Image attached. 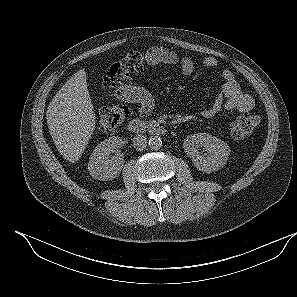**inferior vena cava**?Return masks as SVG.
Returning <instances> with one entry per match:
<instances>
[{"mask_svg": "<svg viewBox=\"0 0 297 297\" xmlns=\"http://www.w3.org/2000/svg\"><path fill=\"white\" fill-rule=\"evenodd\" d=\"M133 147L138 151H143L147 147V137L142 134H137L133 138Z\"/></svg>", "mask_w": 297, "mask_h": 297, "instance_id": "602c4592", "label": "inferior vena cava"}]
</instances>
